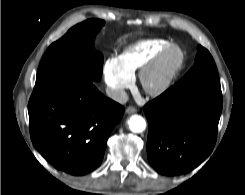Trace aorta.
Segmentation results:
<instances>
[{
	"label": "aorta",
	"instance_id": "obj_1",
	"mask_svg": "<svg viewBox=\"0 0 245 195\" xmlns=\"http://www.w3.org/2000/svg\"><path fill=\"white\" fill-rule=\"evenodd\" d=\"M129 128L134 133H141L146 128V121L140 115H132L128 121Z\"/></svg>",
	"mask_w": 245,
	"mask_h": 195
}]
</instances>
